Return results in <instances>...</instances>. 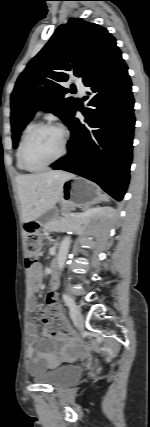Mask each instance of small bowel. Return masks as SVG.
<instances>
[{
  "instance_id": "small-bowel-1",
  "label": "small bowel",
  "mask_w": 150,
  "mask_h": 427,
  "mask_svg": "<svg viewBox=\"0 0 150 427\" xmlns=\"http://www.w3.org/2000/svg\"><path fill=\"white\" fill-rule=\"evenodd\" d=\"M29 281L32 289L37 292L43 288V270L40 264L34 265L29 270ZM52 291L59 287V281L53 276L50 283ZM37 308L35 301L31 302V309ZM27 332V349L28 370L30 374L37 375L46 369H51L62 362L69 361L80 351L78 340L73 338H59L58 342L53 340L45 331L44 337L39 338L38 326L35 322L30 321L26 327Z\"/></svg>"
}]
</instances>
